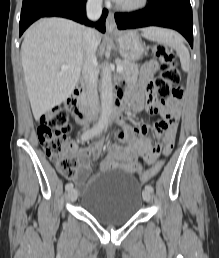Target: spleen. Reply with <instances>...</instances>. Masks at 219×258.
<instances>
[{"instance_id": "1", "label": "spleen", "mask_w": 219, "mask_h": 258, "mask_svg": "<svg viewBox=\"0 0 219 258\" xmlns=\"http://www.w3.org/2000/svg\"><path fill=\"white\" fill-rule=\"evenodd\" d=\"M142 36L151 41L163 43L171 48H174L179 55L183 70H189V51L183 44L182 38L179 34L169 29L148 27L142 30Z\"/></svg>"}]
</instances>
